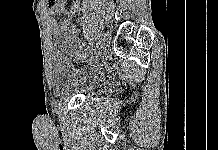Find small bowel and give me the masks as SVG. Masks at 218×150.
I'll use <instances>...</instances> for the list:
<instances>
[{
  "label": "small bowel",
  "instance_id": "small-bowel-1",
  "mask_svg": "<svg viewBox=\"0 0 218 150\" xmlns=\"http://www.w3.org/2000/svg\"><path fill=\"white\" fill-rule=\"evenodd\" d=\"M80 0H57L54 4H51L48 0V10L52 16L57 14L66 13L67 19L58 21L55 17L50 19V24L53 31L57 34L76 32V28L71 21L72 15L76 12L79 6Z\"/></svg>",
  "mask_w": 218,
  "mask_h": 150
}]
</instances>
